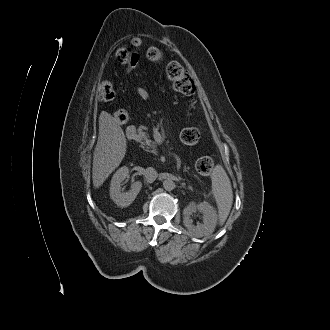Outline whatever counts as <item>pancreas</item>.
Returning <instances> with one entry per match:
<instances>
[{"instance_id": "obj_1", "label": "pancreas", "mask_w": 330, "mask_h": 330, "mask_svg": "<svg viewBox=\"0 0 330 330\" xmlns=\"http://www.w3.org/2000/svg\"><path fill=\"white\" fill-rule=\"evenodd\" d=\"M140 140H142L141 143L143 145L149 146V147H147V149L152 148V150H150V152H152V153L156 152V150L154 149V147H155L154 142L151 141L150 139H148V135L143 133L142 131L140 132Z\"/></svg>"}]
</instances>
